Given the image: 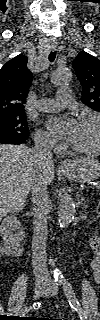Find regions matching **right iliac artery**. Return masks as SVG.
Segmentation results:
<instances>
[{
    "label": "right iliac artery",
    "mask_w": 100,
    "mask_h": 320,
    "mask_svg": "<svg viewBox=\"0 0 100 320\" xmlns=\"http://www.w3.org/2000/svg\"><path fill=\"white\" fill-rule=\"evenodd\" d=\"M56 285L58 286V283H56ZM41 304L42 302H35L31 306L23 308L19 313L20 317L27 314L31 309H39Z\"/></svg>",
    "instance_id": "1"
}]
</instances>
